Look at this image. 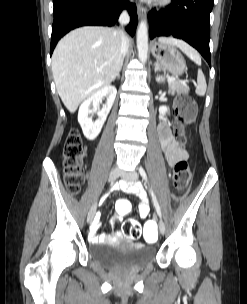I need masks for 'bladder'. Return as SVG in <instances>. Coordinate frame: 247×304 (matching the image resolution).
Here are the masks:
<instances>
[{
    "label": "bladder",
    "mask_w": 247,
    "mask_h": 304,
    "mask_svg": "<svg viewBox=\"0 0 247 304\" xmlns=\"http://www.w3.org/2000/svg\"><path fill=\"white\" fill-rule=\"evenodd\" d=\"M88 253L92 260L107 268L121 263L141 268L155 258L156 249L136 243L122 245L119 242H111L92 244Z\"/></svg>",
    "instance_id": "obj_1"
}]
</instances>
